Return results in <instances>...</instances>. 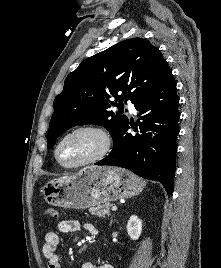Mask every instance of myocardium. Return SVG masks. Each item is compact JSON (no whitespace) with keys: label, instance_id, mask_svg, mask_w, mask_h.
<instances>
[{"label":"myocardium","instance_id":"1","mask_svg":"<svg viewBox=\"0 0 221 268\" xmlns=\"http://www.w3.org/2000/svg\"><path fill=\"white\" fill-rule=\"evenodd\" d=\"M80 132H92L96 134L100 138V141H101L100 147L93 155H91L90 157L78 163H74V164L63 163L59 158L60 147L69 137ZM111 147H112V139L109 133L106 131V129L97 125H82V126H78V127L71 129L58 140L54 148V158L61 167L67 168V169H75V168H80L85 165L95 163L103 159L110 152Z\"/></svg>","mask_w":221,"mask_h":268}]
</instances>
